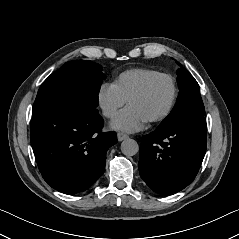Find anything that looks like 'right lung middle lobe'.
I'll list each match as a JSON object with an SVG mask.
<instances>
[{"label":"right lung middle lobe","mask_w":239,"mask_h":239,"mask_svg":"<svg viewBox=\"0 0 239 239\" xmlns=\"http://www.w3.org/2000/svg\"><path fill=\"white\" fill-rule=\"evenodd\" d=\"M103 79L104 74L97 63L88 60L65 63L41 85L33 105L32 117L64 100H76L96 108Z\"/></svg>","instance_id":"obj_1"}]
</instances>
